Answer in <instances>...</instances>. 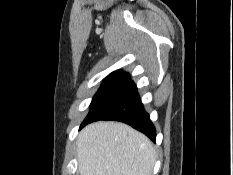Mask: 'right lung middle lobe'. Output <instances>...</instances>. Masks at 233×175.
I'll use <instances>...</instances> for the list:
<instances>
[{
    "label": "right lung middle lobe",
    "mask_w": 233,
    "mask_h": 175,
    "mask_svg": "<svg viewBox=\"0 0 233 175\" xmlns=\"http://www.w3.org/2000/svg\"><path fill=\"white\" fill-rule=\"evenodd\" d=\"M132 84L133 82L129 78L104 79L101 87L95 94L90 104V112L85 120L94 117L97 113H99L102 109H104L112 101H114L118 96L125 92Z\"/></svg>",
    "instance_id": "right-lung-middle-lobe-1"
}]
</instances>
